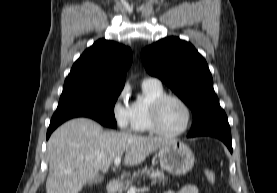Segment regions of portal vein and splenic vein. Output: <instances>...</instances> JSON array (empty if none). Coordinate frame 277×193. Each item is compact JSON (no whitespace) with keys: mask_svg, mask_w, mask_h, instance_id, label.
Returning <instances> with one entry per match:
<instances>
[{"mask_svg":"<svg viewBox=\"0 0 277 193\" xmlns=\"http://www.w3.org/2000/svg\"><path fill=\"white\" fill-rule=\"evenodd\" d=\"M120 162H121V157H116L114 159V165L115 166H119ZM136 192H137V189L135 187H133V186L130 187V189L128 191V193H136Z\"/></svg>","mask_w":277,"mask_h":193,"instance_id":"portal-vein-and-splenic-vein-1","label":"portal vein and splenic vein"}]
</instances>
